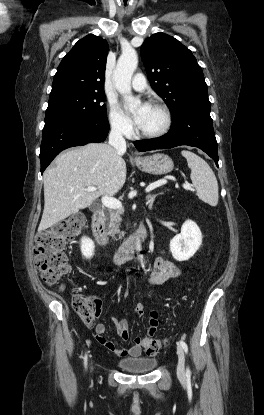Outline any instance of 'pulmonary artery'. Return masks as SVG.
I'll return each instance as SVG.
<instances>
[{"mask_svg":"<svg viewBox=\"0 0 264 415\" xmlns=\"http://www.w3.org/2000/svg\"><path fill=\"white\" fill-rule=\"evenodd\" d=\"M131 86L136 91H144L147 88V82L141 73H136L131 81Z\"/></svg>","mask_w":264,"mask_h":415,"instance_id":"pulmonary-artery-1","label":"pulmonary artery"}]
</instances>
